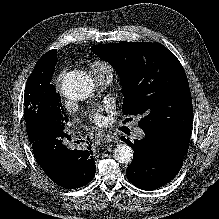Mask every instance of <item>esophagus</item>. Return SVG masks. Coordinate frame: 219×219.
<instances>
[{
	"instance_id": "esophagus-1",
	"label": "esophagus",
	"mask_w": 219,
	"mask_h": 219,
	"mask_svg": "<svg viewBox=\"0 0 219 219\" xmlns=\"http://www.w3.org/2000/svg\"><path fill=\"white\" fill-rule=\"evenodd\" d=\"M96 137L98 141L103 144L113 141V137L105 132H99Z\"/></svg>"
}]
</instances>
